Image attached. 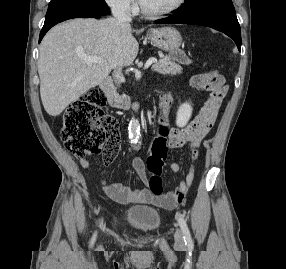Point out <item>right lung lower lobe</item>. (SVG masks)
Returning a JSON list of instances; mask_svg holds the SVG:
<instances>
[{"label": "right lung lower lobe", "instance_id": "obj_1", "mask_svg": "<svg viewBox=\"0 0 286 269\" xmlns=\"http://www.w3.org/2000/svg\"><path fill=\"white\" fill-rule=\"evenodd\" d=\"M76 17H82V18H100V14H94V13H76L72 15H68L59 19L52 20L50 22L44 23V26L40 32L39 42L42 40L46 32L56 25L57 23L63 22L68 19L76 18Z\"/></svg>", "mask_w": 286, "mask_h": 269}]
</instances>
